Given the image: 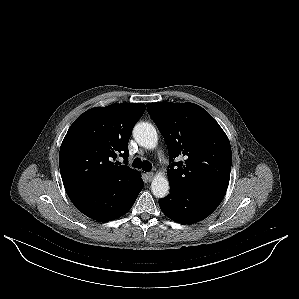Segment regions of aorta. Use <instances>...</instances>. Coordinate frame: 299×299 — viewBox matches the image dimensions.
Masks as SVG:
<instances>
[{"mask_svg":"<svg viewBox=\"0 0 299 299\" xmlns=\"http://www.w3.org/2000/svg\"><path fill=\"white\" fill-rule=\"evenodd\" d=\"M136 142L146 149H154L158 143L155 127L148 122L137 123L133 129ZM151 191L157 198H164L169 192V182L165 175L158 173L152 180Z\"/></svg>","mask_w":299,"mask_h":299,"instance_id":"aorta-1","label":"aorta"}]
</instances>
